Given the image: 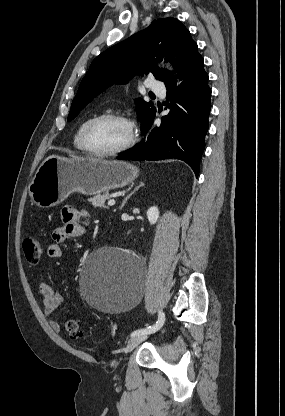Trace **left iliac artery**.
Returning <instances> with one entry per match:
<instances>
[{
	"label": "left iliac artery",
	"mask_w": 285,
	"mask_h": 416,
	"mask_svg": "<svg viewBox=\"0 0 285 416\" xmlns=\"http://www.w3.org/2000/svg\"><path fill=\"white\" fill-rule=\"evenodd\" d=\"M164 322H165V314L163 313L162 310H160L158 314V321L153 326H148L146 328L138 329L132 332L131 336L154 333L163 326Z\"/></svg>",
	"instance_id": "left-iliac-artery-1"
}]
</instances>
